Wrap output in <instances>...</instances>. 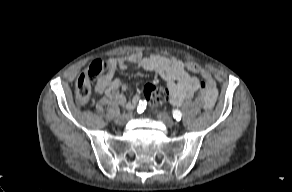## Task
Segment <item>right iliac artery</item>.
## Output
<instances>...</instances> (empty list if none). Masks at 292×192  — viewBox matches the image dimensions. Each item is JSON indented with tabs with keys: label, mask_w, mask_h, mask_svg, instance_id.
Listing matches in <instances>:
<instances>
[{
	"label": "right iliac artery",
	"mask_w": 292,
	"mask_h": 192,
	"mask_svg": "<svg viewBox=\"0 0 292 192\" xmlns=\"http://www.w3.org/2000/svg\"><path fill=\"white\" fill-rule=\"evenodd\" d=\"M145 108H146V101L140 100L138 104V112H142Z\"/></svg>",
	"instance_id": "obj_1"
}]
</instances>
